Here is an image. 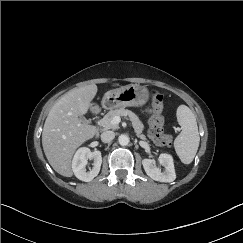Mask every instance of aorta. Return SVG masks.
<instances>
[{"label": "aorta", "instance_id": "1", "mask_svg": "<svg viewBox=\"0 0 243 243\" xmlns=\"http://www.w3.org/2000/svg\"><path fill=\"white\" fill-rule=\"evenodd\" d=\"M118 142L121 146H126L130 142V138L127 135L121 134L118 138Z\"/></svg>", "mask_w": 243, "mask_h": 243}]
</instances>
